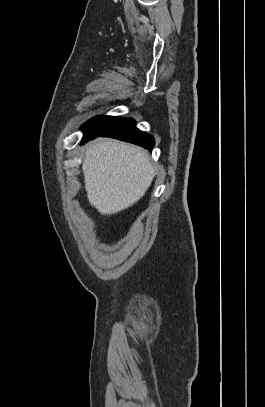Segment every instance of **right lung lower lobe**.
<instances>
[{
	"mask_svg": "<svg viewBox=\"0 0 265 407\" xmlns=\"http://www.w3.org/2000/svg\"><path fill=\"white\" fill-rule=\"evenodd\" d=\"M99 136L111 137L122 141L130 142L150 150H152L155 144L154 138L151 135L140 131L136 127L135 120L132 118L123 119L118 124H116L115 126L111 127L110 129L106 130L103 133L90 137L85 136L82 139V143L92 140Z\"/></svg>",
	"mask_w": 265,
	"mask_h": 407,
	"instance_id": "1",
	"label": "right lung lower lobe"
}]
</instances>
